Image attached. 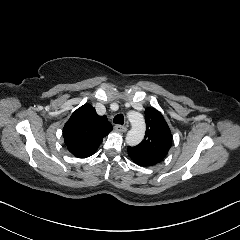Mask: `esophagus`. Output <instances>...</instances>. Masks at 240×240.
<instances>
[{
	"label": "esophagus",
	"mask_w": 240,
	"mask_h": 240,
	"mask_svg": "<svg viewBox=\"0 0 240 240\" xmlns=\"http://www.w3.org/2000/svg\"><path fill=\"white\" fill-rule=\"evenodd\" d=\"M114 129H115V131H118V132H126L127 131V128L123 125H115Z\"/></svg>",
	"instance_id": "1"
}]
</instances>
